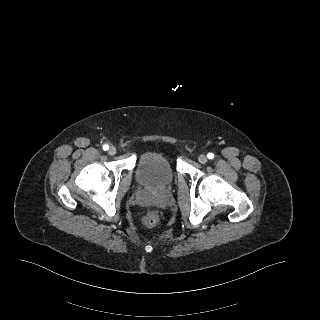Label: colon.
Here are the masks:
<instances>
[{"label":"colon","mask_w":320,"mask_h":320,"mask_svg":"<svg viewBox=\"0 0 320 320\" xmlns=\"http://www.w3.org/2000/svg\"><path fill=\"white\" fill-rule=\"evenodd\" d=\"M159 222V214L156 211H149L142 217L143 225L153 227Z\"/></svg>","instance_id":"colon-1"}]
</instances>
